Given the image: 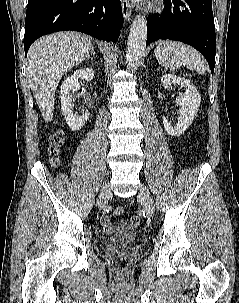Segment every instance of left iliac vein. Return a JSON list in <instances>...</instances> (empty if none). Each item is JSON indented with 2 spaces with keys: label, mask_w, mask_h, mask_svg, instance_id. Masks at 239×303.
<instances>
[{
  "label": "left iliac vein",
  "mask_w": 239,
  "mask_h": 303,
  "mask_svg": "<svg viewBox=\"0 0 239 303\" xmlns=\"http://www.w3.org/2000/svg\"><path fill=\"white\" fill-rule=\"evenodd\" d=\"M138 197L141 199L143 203L144 210L148 216L153 214V200L149 193L148 188L141 184L139 187Z\"/></svg>",
  "instance_id": "obj_1"
}]
</instances>
